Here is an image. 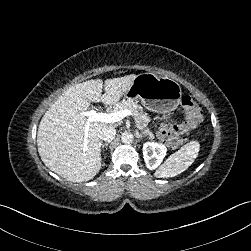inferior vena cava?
Returning <instances> with one entry per match:
<instances>
[{
    "instance_id": "1",
    "label": "inferior vena cava",
    "mask_w": 251,
    "mask_h": 251,
    "mask_svg": "<svg viewBox=\"0 0 251 251\" xmlns=\"http://www.w3.org/2000/svg\"><path fill=\"white\" fill-rule=\"evenodd\" d=\"M115 135H116V130L113 127L106 126V127L102 128L98 137L101 140L111 142L115 138ZM100 145H101V143H100Z\"/></svg>"
}]
</instances>
